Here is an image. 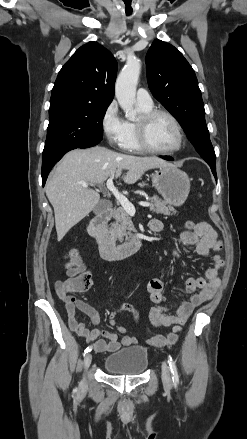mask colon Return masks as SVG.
<instances>
[{"label":"colon","mask_w":247,"mask_h":439,"mask_svg":"<svg viewBox=\"0 0 247 439\" xmlns=\"http://www.w3.org/2000/svg\"><path fill=\"white\" fill-rule=\"evenodd\" d=\"M187 229H194L197 224L193 221H187L185 223ZM66 267L68 275L72 280L71 288L73 291H85L91 285V276L88 271H86L79 258L78 252L75 249H70L66 255Z\"/></svg>","instance_id":"obj_1"}]
</instances>
